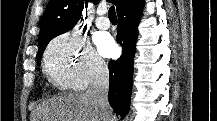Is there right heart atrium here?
<instances>
[{
  "label": "right heart atrium",
  "mask_w": 217,
  "mask_h": 121,
  "mask_svg": "<svg viewBox=\"0 0 217 121\" xmlns=\"http://www.w3.org/2000/svg\"><path fill=\"white\" fill-rule=\"evenodd\" d=\"M48 79L61 89L83 90L108 76L102 57L76 32L53 39L44 54Z\"/></svg>",
  "instance_id": "1"
}]
</instances>
